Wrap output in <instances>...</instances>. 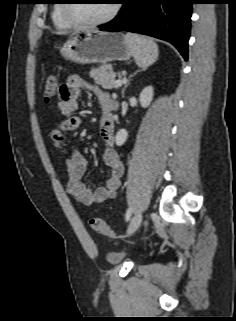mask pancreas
Instances as JSON below:
<instances>
[{
  "label": "pancreas",
  "instance_id": "cf45deb5",
  "mask_svg": "<svg viewBox=\"0 0 236 321\" xmlns=\"http://www.w3.org/2000/svg\"><path fill=\"white\" fill-rule=\"evenodd\" d=\"M89 75L105 89L116 88L115 73L109 64H102L96 69H91Z\"/></svg>",
  "mask_w": 236,
  "mask_h": 321
}]
</instances>
